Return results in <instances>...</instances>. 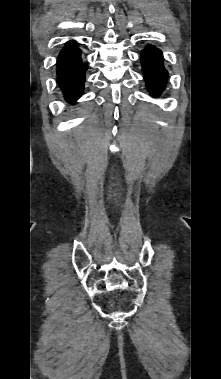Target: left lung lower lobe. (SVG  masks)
Returning a JSON list of instances; mask_svg holds the SVG:
<instances>
[{
	"instance_id": "0a47b994",
	"label": "left lung lower lobe",
	"mask_w": 221,
	"mask_h": 379,
	"mask_svg": "<svg viewBox=\"0 0 221 379\" xmlns=\"http://www.w3.org/2000/svg\"><path fill=\"white\" fill-rule=\"evenodd\" d=\"M141 61L147 88L153 96H157L164 90L168 76L163 66L162 53L157 48L148 46L141 53Z\"/></svg>"
}]
</instances>
